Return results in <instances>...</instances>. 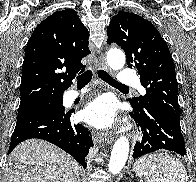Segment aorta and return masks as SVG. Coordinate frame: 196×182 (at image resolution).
Wrapping results in <instances>:
<instances>
[{
    "instance_id": "762f6f07",
    "label": "aorta",
    "mask_w": 196,
    "mask_h": 182,
    "mask_svg": "<svg viewBox=\"0 0 196 182\" xmlns=\"http://www.w3.org/2000/svg\"><path fill=\"white\" fill-rule=\"evenodd\" d=\"M107 63L113 70H120L125 64V55L119 49H112L107 53ZM129 154V140L126 136H120L114 143L110 161L109 172L113 175L118 174L127 161Z\"/></svg>"
}]
</instances>
